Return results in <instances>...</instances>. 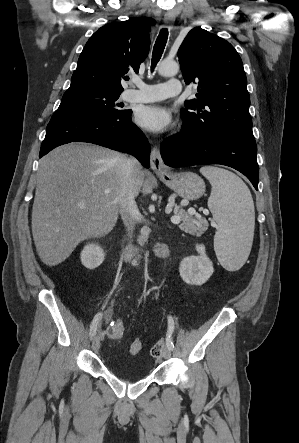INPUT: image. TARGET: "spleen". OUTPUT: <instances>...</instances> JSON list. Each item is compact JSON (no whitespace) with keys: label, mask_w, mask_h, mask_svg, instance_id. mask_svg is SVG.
Masks as SVG:
<instances>
[{"label":"spleen","mask_w":299,"mask_h":443,"mask_svg":"<svg viewBox=\"0 0 299 443\" xmlns=\"http://www.w3.org/2000/svg\"><path fill=\"white\" fill-rule=\"evenodd\" d=\"M211 186L208 199L218 230L214 236V250L221 265L228 271L240 269L251 250L255 212L251 193L234 173L213 166L200 169Z\"/></svg>","instance_id":"3e777b00"}]
</instances>
